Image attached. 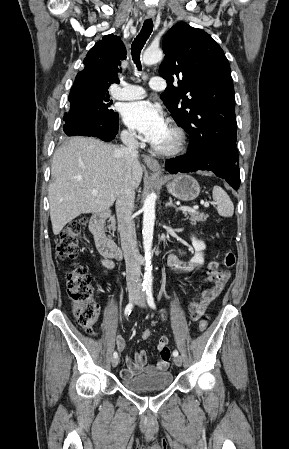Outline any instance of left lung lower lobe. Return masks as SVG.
Wrapping results in <instances>:
<instances>
[{
    "instance_id": "1",
    "label": "left lung lower lobe",
    "mask_w": 289,
    "mask_h": 449,
    "mask_svg": "<svg viewBox=\"0 0 289 449\" xmlns=\"http://www.w3.org/2000/svg\"><path fill=\"white\" fill-rule=\"evenodd\" d=\"M239 155L235 141L229 134L215 133L200 142L190 140L189 151L182 156L166 160L170 173L207 170L224 178L237 190L240 186Z\"/></svg>"
}]
</instances>
